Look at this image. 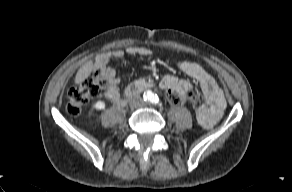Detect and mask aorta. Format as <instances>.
<instances>
[{
	"label": "aorta",
	"mask_w": 292,
	"mask_h": 192,
	"mask_svg": "<svg viewBox=\"0 0 292 192\" xmlns=\"http://www.w3.org/2000/svg\"><path fill=\"white\" fill-rule=\"evenodd\" d=\"M144 98L148 101H154L155 98H156V95L152 92V91H147L145 94H144Z\"/></svg>",
	"instance_id": "1"
}]
</instances>
